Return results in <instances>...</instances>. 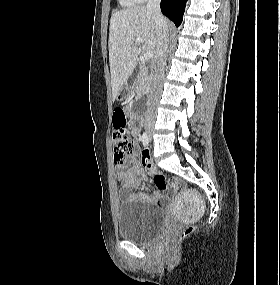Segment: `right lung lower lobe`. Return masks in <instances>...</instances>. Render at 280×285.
Instances as JSON below:
<instances>
[{
    "instance_id": "obj_1",
    "label": "right lung lower lobe",
    "mask_w": 280,
    "mask_h": 285,
    "mask_svg": "<svg viewBox=\"0 0 280 285\" xmlns=\"http://www.w3.org/2000/svg\"><path fill=\"white\" fill-rule=\"evenodd\" d=\"M186 2L187 0H161V11L176 26H179L183 19Z\"/></svg>"
}]
</instances>
